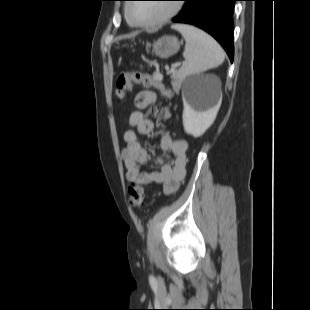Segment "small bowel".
<instances>
[{
  "instance_id": "obj_1",
  "label": "small bowel",
  "mask_w": 310,
  "mask_h": 310,
  "mask_svg": "<svg viewBox=\"0 0 310 310\" xmlns=\"http://www.w3.org/2000/svg\"><path fill=\"white\" fill-rule=\"evenodd\" d=\"M157 100L155 92L141 90L135 96L136 109L128 118V124L132 128L125 131L123 140L125 147L121 157L125 168V180L128 183L149 185L162 184L163 193L171 195L178 190L186 176L187 142L183 139L174 140L170 134L165 133L159 140L160 149L171 154L170 158H162L150 155L142 145L139 135H149L153 131V122L147 118L145 111ZM165 111L164 117H169ZM155 161L160 165L155 171H142L144 165H151Z\"/></svg>"
}]
</instances>
